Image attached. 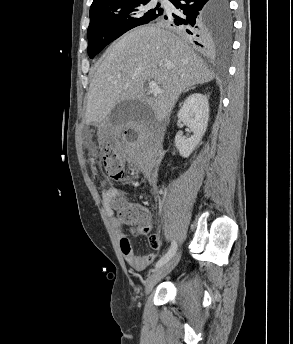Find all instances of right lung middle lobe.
<instances>
[{
  "instance_id": "obj_1",
  "label": "right lung middle lobe",
  "mask_w": 293,
  "mask_h": 344,
  "mask_svg": "<svg viewBox=\"0 0 293 344\" xmlns=\"http://www.w3.org/2000/svg\"><path fill=\"white\" fill-rule=\"evenodd\" d=\"M150 0H118L90 10L88 27V55L94 58L110 42L128 30L161 19L163 9L160 4L150 9ZM213 22L218 33L214 46L228 45L231 16L228 0H216Z\"/></svg>"
}]
</instances>
